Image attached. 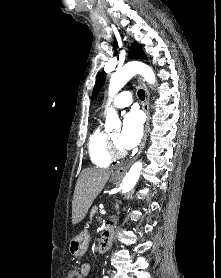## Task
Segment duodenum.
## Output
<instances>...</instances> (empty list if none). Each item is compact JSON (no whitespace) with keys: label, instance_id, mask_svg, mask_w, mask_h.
Listing matches in <instances>:
<instances>
[{"label":"duodenum","instance_id":"410a0bca","mask_svg":"<svg viewBox=\"0 0 221 278\" xmlns=\"http://www.w3.org/2000/svg\"><path fill=\"white\" fill-rule=\"evenodd\" d=\"M113 231H114V227L113 224L111 223L107 224L104 227L100 240L97 245V252L99 254H103L109 249L112 242Z\"/></svg>","mask_w":221,"mask_h":278}]
</instances>
